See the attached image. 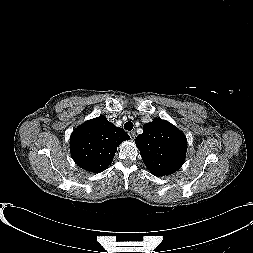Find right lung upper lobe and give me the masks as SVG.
<instances>
[{
  "mask_svg": "<svg viewBox=\"0 0 253 253\" xmlns=\"http://www.w3.org/2000/svg\"><path fill=\"white\" fill-rule=\"evenodd\" d=\"M128 139L129 135L122 128L114 126L101 115L73 131L70 137L71 156L81 168L99 173L112 163L120 143Z\"/></svg>",
  "mask_w": 253,
  "mask_h": 253,
  "instance_id": "cb5924a9",
  "label": "right lung upper lobe"
}]
</instances>
